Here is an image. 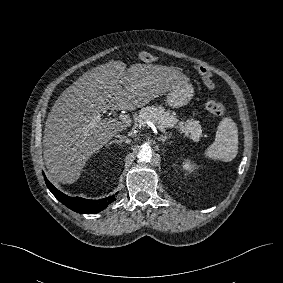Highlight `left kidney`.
<instances>
[{
    "instance_id": "obj_1",
    "label": "left kidney",
    "mask_w": 283,
    "mask_h": 283,
    "mask_svg": "<svg viewBox=\"0 0 283 283\" xmlns=\"http://www.w3.org/2000/svg\"><path fill=\"white\" fill-rule=\"evenodd\" d=\"M182 167L189 172H192L195 169V166L189 160L184 161Z\"/></svg>"
}]
</instances>
